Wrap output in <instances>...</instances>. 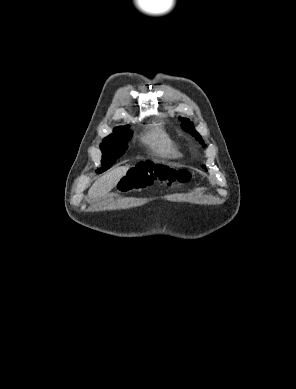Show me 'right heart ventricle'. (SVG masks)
<instances>
[{
	"label": "right heart ventricle",
	"instance_id": "e07e8e85",
	"mask_svg": "<svg viewBox=\"0 0 296 389\" xmlns=\"http://www.w3.org/2000/svg\"><path fill=\"white\" fill-rule=\"evenodd\" d=\"M143 142L158 156L178 158L181 156L176 141L159 124L150 127L142 137Z\"/></svg>",
	"mask_w": 296,
	"mask_h": 389
}]
</instances>
